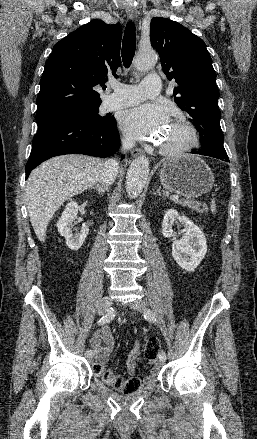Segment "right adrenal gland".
<instances>
[{
  "instance_id": "right-adrenal-gland-1",
  "label": "right adrenal gland",
  "mask_w": 257,
  "mask_h": 439,
  "mask_svg": "<svg viewBox=\"0 0 257 439\" xmlns=\"http://www.w3.org/2000/svg\"><path fill=\"white\" fill-rule=\"evenodd\" d=\"M98 192V194H104L105 191L108 190V187L105 185L96 184V186L91 187Z\"/></svg>"
}]
</instances>
